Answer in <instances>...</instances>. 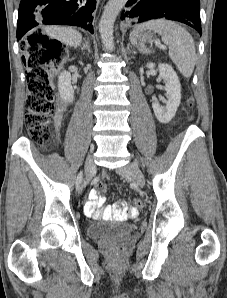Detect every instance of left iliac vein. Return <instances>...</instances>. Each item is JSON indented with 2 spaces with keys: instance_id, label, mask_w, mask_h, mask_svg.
<instances>
[{
  "instance_id": "left-iliac-vein-1",
  "label": "left iliac vein",
  "mask_w": 227,
  "mask_h": 298,
  "mask_svg": "<svg viewBox=\"0 0 227 298\" xmlns=\"http://www.w3.org/2000/svg\"><path fill=\"white\" fill-rule=\"evenodd\" d=\"M117 171L122 176L131 177L139 186H144L145 179L137 163H129L119 168Z\"/></svg>"
}]
</instances>
